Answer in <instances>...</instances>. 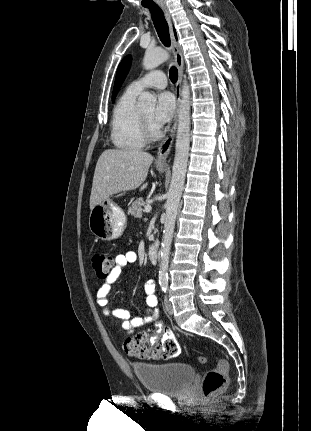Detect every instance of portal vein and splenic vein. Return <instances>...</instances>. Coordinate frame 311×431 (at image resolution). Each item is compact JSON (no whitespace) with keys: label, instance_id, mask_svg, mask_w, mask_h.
<instances>
[{"label":"portal vein and splenic vein","instance_id":"1","mask_svg":"<svg viewBox=\"0 0 311 431\" xmlns=\"http://www.w3.org/2000/svg\"><path fill=\"white\" fill-rule=\"evenodd\" d=\"M152 210V206H145L144 212H150Z\"/></svg>","mask_w":311,"mask_h":431}]
</instances>
